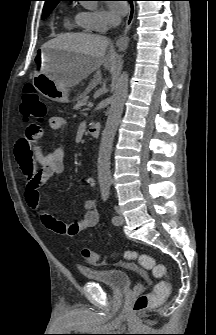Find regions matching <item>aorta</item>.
<instances>
[{
    "instance_id": "aorta-1",
    "label": "aorta",
    "mask_w": 216,
    "mask_h": 335,
    "mask_svg": "<svg viewBox=\"0 0 216 335\" xmlns=\"http://www.w3.org/2000/svg\"><path fill=\"white\" fill-rule=\"evenodd\" d=\"M128 80V73L124 71L117 79L113 94L110 98L111 106L102 133L98 155V182L101 187L110 186L111 184L110 158L114 137L121 120L128 94Z\"/></svg>"
}]
</instances>
